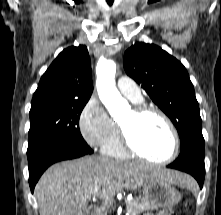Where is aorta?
I'll use <instances>...</instances> for the list:
<instances>
[{
	"label": "aorta",
	"instance_id": "aorta-1",
	"mask_svg": "<svg viewBox=\"0 0 221 215\" xmlns=\"http://www.w3.org/2000/svg\"><path fill=\"white\" fill-rule=\"evenodd\" d=\"M116 64L113 60H100L96 66V87L101 102L112 116L127 109L128 102L122 98L115 85Z\"/></svg>",
	"mask_w": 221,
	"mask_h": 215
}]
</instances>
